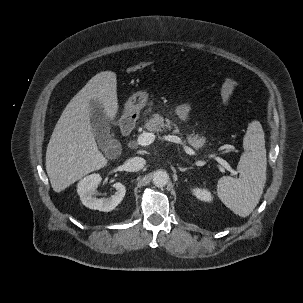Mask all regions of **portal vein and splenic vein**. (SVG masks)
<instances>
[{
  "label": "portal vein and splenic vein",
  "instance_id": "18ae733b",
  "mask_svg": "<svg viewBox=\"0 0 303 303\" xmlns=\"http://www.w3.org/2000/svg\"><path fill=\"white\" fill-rule=\"evenodd\" d=\"M163 139L166 141L180 144V145H182L183 149L185 150V152L187 154L195 155V151L192 148H190L189 146H187L180 137L174 136V135H167V136H163ZM154 140H155V135L153 133L144 132L138 136L137 143L140 146H148L151 143H153ZM215 160L218 163H220L232 175L237 176V172L234 169H232V167L230 166V164L227 161H225L224 159H222L220 157H215Z\"/></svg>",
  "mask_w": 303,
  "mask_h": 303
}]
</instances>
